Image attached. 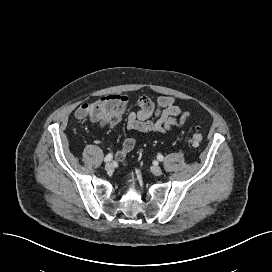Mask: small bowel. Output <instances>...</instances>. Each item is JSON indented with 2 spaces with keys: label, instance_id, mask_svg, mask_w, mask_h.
<instances>
[{
  "label": "small bowel",
  "instance_id": "small-bowel-1",
  "mask_svg": "<svg viewBox=\"0 0 272 272\" xmlns=\"http://www.w3.org/2000/svg\"><path fill=\"white\" fill-rule=\"evenodd\" d=\"M129 102L130 97L126 94L103 96L97 101L81 105L75 111V117L88 118L102 125L117 126L123 116H127L128 130L165 133L173 127L182 126L189 116V112L183 110L172 96H160L156 99L141 96L136 100V112L128 110ZM135 145L136 139L127 137L122 147L116 151L115 158L119 161L124 160Z\"/></svg>",
  "mask_w": 272,
  "mask_h": 272
}]
</instances>
